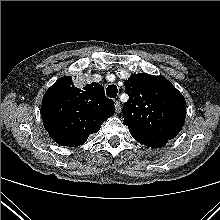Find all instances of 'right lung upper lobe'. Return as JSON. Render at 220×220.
Returning a JSON list of instances; mask_svg holds the SVG:
<instances>
[{"mask_svg":"<svg viewBox=\"0 0 220 220\" xmlns=\"http://www.w3.org/2000/svg\"><path fill=\"white\" fill-rule=\"evenodd\" d=\"M40 112L46 130L58 144L77 147L99 131L115 106L100 84L77 88L71 76H64L45 93Z\"/></svg>","mask_w":220,"mask_h":220,"instance_id":"obj_1","label":"right lung upper lobe"}]
</instances>
